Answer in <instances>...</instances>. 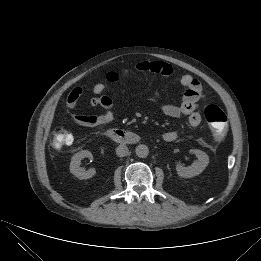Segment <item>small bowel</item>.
<instances>
[{
  "mask_svg": "<svg viewBox=\"0 0 261 261\" xmlns=\"http://www.w3.org/2000/svg\"><path fill=\"white\" fill-rule=\"evenodd\" d=\"M136 69L143 72L155 73L163 77H170L173 74L172 66L165 62H140L136 65ZM128 74L129 70H125L122 73V77H126ZM180 83L185 89L180 103L177 105L164 104L161 106V110L171 118H179L181 115H187L189 124L197 127L201 123V116L197 109L200 100L204 98L202 85L188 74L180 78ZM106 90L107 86L101 82L93 86L92 91L97 96L90 99L89 105L91 107H101L103 108V112L101 114H73L72 118L76 124L83 127H97L109 125L114 121V101L109 96L101 95ZM82 93V88H73L66 99L67 107L70 109L77 108ZM162 138L166 142H172L177 138V133L169 130L163 133Z\"/></svg>",
  "mask_w": 261,
  "mask_h": 261,
  "instance_id": "small-bowel-1",
  "label": "small bowel"
}]
</instances>
